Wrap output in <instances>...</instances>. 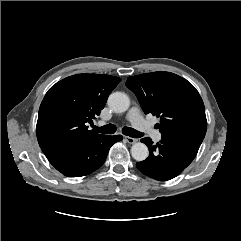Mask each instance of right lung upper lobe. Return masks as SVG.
Listing matches in <instances>:
<instances>
[{
	"instance_id": "1",
	"label": "right lung upper lobe",
	"mask_w": 241,
	"mask_h": 241,
	"mask_svg": "<svg viewBox=\"0 0 241 241\" xmlns=\"http://www.w3.org/2000/svg\"><path fill=\"white\" fill-rule=\"evenodd\" d=\"M119 77L102 74H77L53 85L39 109L37 139L44 153L101 134L88 130L104 108L107 98L120 82Z\"/></svg>"
}]
</instances>
